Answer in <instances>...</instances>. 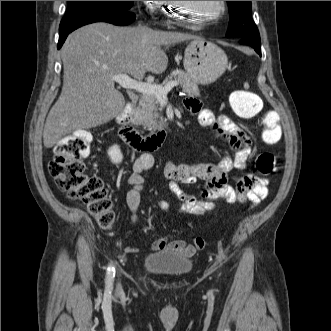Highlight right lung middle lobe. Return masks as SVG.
Wrapping results in <instances>:
<instances>
[{
    "label": "right lung middle lobe",
    "mask_w": 331,
    "mask_h": 331,
    "mask_svg": "<svg viewBox=\"0 0 331 331\" xmlns=\"http://www.w3.org/2000/svg\"><path fill=\"white\" fill-rule=\"evenodd\" d=\"M133 1H68L59 30L99 15L129 11Z\"/></svg>",
    "instance_id": "dd1d6c3e"
}]
</instances>
